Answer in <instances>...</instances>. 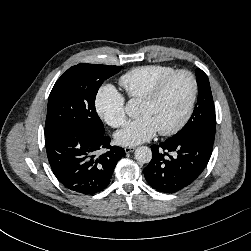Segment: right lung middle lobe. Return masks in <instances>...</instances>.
<instances>
[{"mask_svg": "<svg viewBox=\"0 0 251 251\" xmlns=\"http://www.w3.org/2000/svg\"><path fill=\"white\" fill-rule=\"evenodd\" d=\"M121 66L80 63L69 68L55 83L49 99L45 135L67 126H81L104 134L95 109V98L104 80Z\"/></svg>", "mask_w": 251, "mask_h": 251, "instance_id": "right-lung-middle-lobe-1", "label": "right lung middle lobe"}]
</instances>
